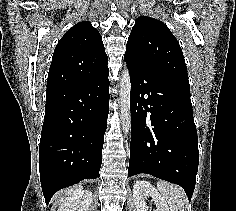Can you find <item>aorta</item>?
Masks as SVG:
<instances>
[{
  "label": "aorta",
  "instance_id": "1",
  "mask_svg": "<svg viewBox=\"0 0 236 211\" xmlns=\"http://www.w3.org/2000/svg\"><path fill=\"white\" fill-rule=\"evenodd\" d=\"M119 103L121 124L124 132L128 133L131 126L130 117V95H131V80L128 69H124L119 83Z\"/></svg>",
  "mask_w": 236,
  "mask_h": 211
}]
</instances>
